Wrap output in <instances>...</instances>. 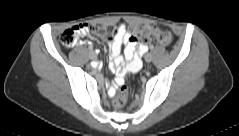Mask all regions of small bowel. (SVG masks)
Listing matches in <instances>:
<instances>
[{
  "label": "small bowel",
  "mask_w": 239,
  "mask_h": 136,
  "mask_svg": "<svg viewBox=\"0 0 239 136\" xmlns=\"http://www.w3.org/2000/svg\"><path fill=\"white\" fill-rule=\"evenodd\" d=\"M109 46L111 50L109 67L112 71H116L118 76L116 84L118 85L122 81L121 78L126 73L141 67V57L142 54L147 53L148 45L138 44V42L133 39V36L126 30L125 24H120ZM123 46L124 59L126 62H124L121 56Z\"/></svg>",
  "instance_id": "obj_1"
}]
</instances>
